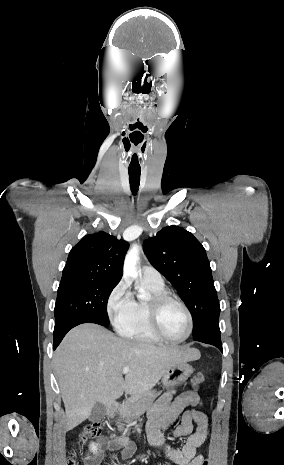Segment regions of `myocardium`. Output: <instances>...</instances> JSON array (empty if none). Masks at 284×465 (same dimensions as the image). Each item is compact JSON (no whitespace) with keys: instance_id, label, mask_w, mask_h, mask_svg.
<instances>
[{"instance_id":"1","label":"myocardium","mask_w":284,"mask_h":465,"mask_svg":"<svg viewBox=\"0 0 284 465\" xmlns=\"http://www.w3.org/2000/svg\"><path fill=\"white\" fill-rule=\"evenodd\" d=\"M171 303L179 305L186 312L188 321H189V327H188V331L186 335L182 339H179V340H172V339L167 338L161 330L162 313L164 309ZM148 313H149V321L147 322L148 327L150 331L152 332V334L163 343L172 344V345L182 344L185 341H187L189 337L191 336V334L193 333L194 317L190 309L181 300L167 293L152 296L148 300Z\"/></svg>"}]
</instances>
